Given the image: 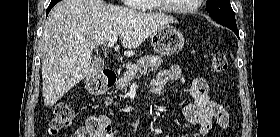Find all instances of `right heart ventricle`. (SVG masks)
I'll return each instance as SVG.
<instances>
[{
    "label": "right heart ventricle",
    "mask_w": 280,
    "mask_h": 137,
    "mask_svg": "<svg viewBox=\"0 0 280 137\" xmlns=\"http://www.w3.org/2000/svg\"><path fill=\"white\" fill-rule=\"evenodd\" d=\"M145 2H151L152 0H144ZM151 10H158V9H151Z\"/></svg>",
    "instance_id": "1"
}]
</instances>
